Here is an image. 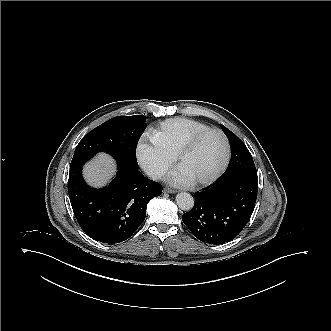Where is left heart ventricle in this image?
Masks as SVG:
<instances>
[{
	"mask_svg": "<svg viewBox=\"0 0 331 331\" xmlns=\"http://www.w3.org/2000/svg\"><path fill=\"white\" fill-rule=\"evenodd\" d=\"M224 157L223 141L217 134L203 137L184 156L180 168L193 180L208 178L220 167Z\"/></svg>",
	"mask_w": 331,
	"mask_h": 331,
	"instance_id": "left-heart-ventricle-1",
	"label": "left heart ventricle"
}]
</instances>
